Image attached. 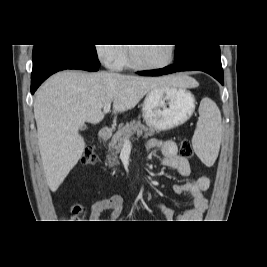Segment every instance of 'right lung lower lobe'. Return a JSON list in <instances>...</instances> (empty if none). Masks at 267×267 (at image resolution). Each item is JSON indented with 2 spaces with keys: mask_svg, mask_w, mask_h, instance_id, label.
I'll return each mask as SVG.
<instances>
[{
  "mask_svg": "<svg viewBox=\"0 0 267 267\" xmlns=\"http://www.w3.org/2000/svg\"><path fill=\"white\" fill-rule=\"evenodd\" d=\"M66 69L94 72L98 71V65L63 45H34L31 93L34 94L41 83L50 75Z\"/></svg>",
  "mask_w": 267,
  "mask_h": 267,
  "instance_id": "1",
  "label": "right lung lower lobe"
}]
</instances>
